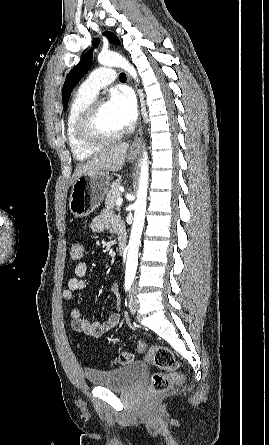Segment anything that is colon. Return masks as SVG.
Wrapping results in <instances>:
<instances>
[{
  "label": "colon",
  "instance_id": "obj_1",
  "mask_svg": "<svg viewBox=\"0 0 269 445\" xmlns=\"http://www.w3.org/2000/svg\"><path fill=\"white\" fill-rule=\"evenodd\" d=\"M83 256V245L75 242L70 247V257L73 262H78ZM140 352H146V359L158 369L150 381L148 388L149 395H158L168 390L173 384L181 382L182 376L177 372L178 362L173 352L161 345L146 348L142 341L137 344ZM134 360V355L130 352H124L117 356L115 363L125 365Z\"/></svg>",
  "mask_w": 269,
  "mask_h": 445
}]
</instances>
